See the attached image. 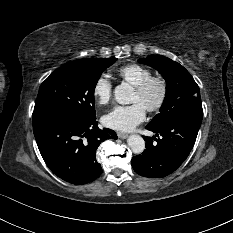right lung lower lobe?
<instances>
[{"label": "right lung lower lobe", "mask_w": 233, "mask_h": 233, "mask_svg": "<svg viewBox=\"0 0 233 233\" xmlns=\"http://www.w3.org/2000/svg\"><path fill=\"white\" fill-rule=\"evenodd\" d=\"M95 118L55 112L33 113V131L39 151L49 169L72 184H87L102 174L96 150L115 131L99 129Z\"/></svg>", "instance_id": "1"}]
</instances>
